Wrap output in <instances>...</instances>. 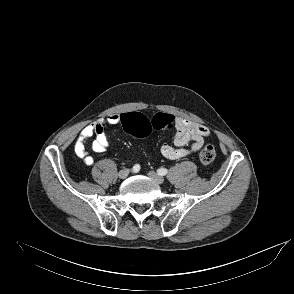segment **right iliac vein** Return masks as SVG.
<instances>
[{
	"mask_svg": "<svg viewBox=\"0 0 294 294\" xmlns=\"http://www.w3.org/2000/svg\"><path fill=\"white\" fill-rule=\"evenodd\" d=\"M129 174V170L128 169H123L118 173V176L120 179H125Z\"/></svg>",
	"mask_w": 294,
	"mask_h": 294,
	"instance_id": "obj_1",
	"label": "right iliac vein"
}]
</instances>
